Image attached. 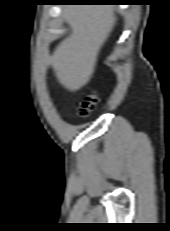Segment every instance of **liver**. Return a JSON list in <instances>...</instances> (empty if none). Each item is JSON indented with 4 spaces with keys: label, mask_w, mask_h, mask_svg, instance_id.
<instances>
[{
    "label": "liver",
    "mask_w": 170,
    "mask_h": 231,
    "mask_svg": "<svg viewBox=\"0 0 170 231\" xmlns=\"http://www.w3.org/2000/svg\"><path fill=\"white\" fill-rule=\"evenodd\" d=\"M64 14L72 32L57 46L49 64L61 85L77 91L91 79L116 17L114 8L107 5L71 6Z\"/></svg>",
    "instance_id": "liver-1"
}]
</instances>
